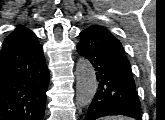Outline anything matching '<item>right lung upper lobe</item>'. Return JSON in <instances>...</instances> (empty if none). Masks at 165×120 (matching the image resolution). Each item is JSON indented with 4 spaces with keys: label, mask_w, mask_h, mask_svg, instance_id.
I'll return each instance as SVG.
<instances>
[{
    "label": "right lung upper lobe",
    "mask_w": 165,
    "mask_h": 120,
    "mask_svg": "<svg viewBox=\"0 0 165 120\" xmlns=\"http://www.w3.org/2000/svg\"><path fill=\"white\" fill-rule=\"evenodd\" d=\"M31 31L25 27H22V26H19L16 28V30L11 33L4 41L5 42H8V41H12L14 39H18L26 34H29Z\"/></svg>",
    "instance_id": "cb5924a9"
}]
</instances>
